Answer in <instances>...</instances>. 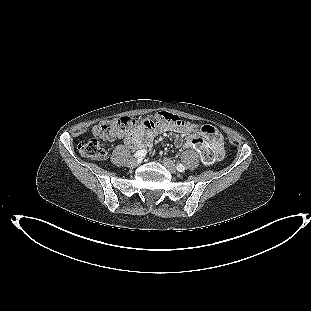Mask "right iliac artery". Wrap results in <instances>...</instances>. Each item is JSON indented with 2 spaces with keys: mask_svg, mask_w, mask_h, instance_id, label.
Returning <instances> with one entry per match:
<instances>
[{
  "mask_svg": "<svg viewBox=\"0 0 311 311\" xmlns=\"http://www.w3.org/2000/svg\"><path fill=\"white\" fill-rule=\"evenodd\" d=\"M146 153V150H139L134 154V156L138 159H142L145 157Z\"/></svg>",
  "mask_w": 311,
  "mask_h": 311,
  "instance_id": "1",
  "label": "right iliac artery"
}]
</instances>
